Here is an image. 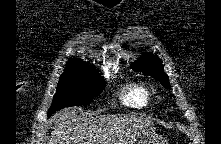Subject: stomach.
<instances>
[{
    "instance_id": "obj_1",
    "label": "stomach",
    "mask_w": 221,
    "mask_h": 144,
    "mask_svg": "<svg viewBox=\"0 0 221 144\" xmlns=\"http://www.w3.org/2000/svg\"><path fill=\"white\" fill-rule=\"evenodd\" d=\"M166 141L162 136L156 134L155 132L143 135L138 142V144H165Z\"/></svg>"
}]
</instances>
